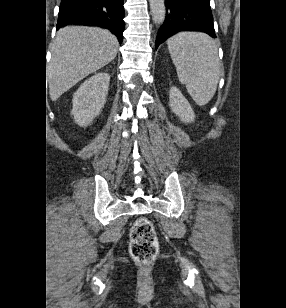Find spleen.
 I'll return each mask as SVG.
<instances>
[{
	"instance_id": "3e777b00",
	"label": "spleen",
	"mask_w": 286,
	"mask_h": 308,
	"mask_svg": "<svg viewBox=\"0 0 286 308\" xmlns=\"http://www.w3.org/2000/svg\"><path fill=\"white\" fill-rule=\"evenodd\" d=\"M167 45L179 81L197 105H206L220 78L216 42L205 33L180 32L170 37Z\"/></svg>"
}]
</instances>
